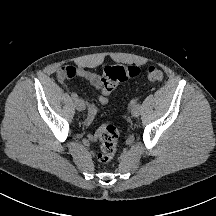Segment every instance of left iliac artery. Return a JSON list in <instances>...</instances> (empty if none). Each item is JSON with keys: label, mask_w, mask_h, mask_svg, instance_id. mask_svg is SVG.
I'll return each instance as SVG.
<instances>
[{"label": "left iliac artery", "mask_w": 216, "mask_h": 216, "mask_svg": "<svg viewBox=\"0 0 216 216\" xmlns=\"http://www.w3.org/2000/svg\"><path fill=\"white\" fill-rule=\"evenodd\" d=\"M137 105V99H132L131 102H130V106L133 107V106H136Z\"/></svg>", "instance_id": "1"}]
</instances>
